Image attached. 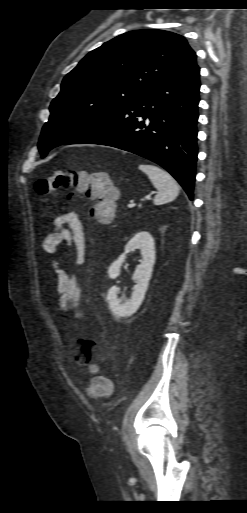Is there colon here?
Here are the masks:
<instances>
[{
    "mask_svg": "<svg viewBox=\"0 0 247 513\" xmlns=\"http://www.w3.org/2000/svg\"><path fill=\"white\" fill-rule=\"evenodd\" d=\"M35 191L40 195L65 192L70 197L74 191L86 194L95 202L90 213L99 222L109 224L114 218L117 193L109 183V178L100 172L90 173L76 170H60L49 173L36 181ZM90 346L81 342L73 349V356L78 361V368L87 379L86 393L96 399L107 398L112 394L110 379L100 374V367L91 358Z\"/></svg>",
    "mask_w": 247,
    "mask_h": 513,
    "instance_id": "5ec220e1",
    "label": "colon"
}]
</instances>
